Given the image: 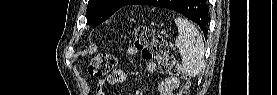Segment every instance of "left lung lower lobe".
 Here are the masks:
<instances>
[{
  "label": "left lung lower lobe",
  "instance_id": "1",
  "mask_svg": "<svg viewBox=\"0 0 277 95\" xmlns=\"http://www.w3.org/2000/svg\"><path fill=\"white\" fill-rule=\"evenodd\" d=\"M168 0H133L131 4H143L157 6L159 3H167ZM172 2V0L170 1ZM165 8L175 10L196 22L207 36L208 9L206 0H176L174 5Z\"/></svg>",
  "mask_w": 277,
  "mask_h": 95
}]
</instances>
